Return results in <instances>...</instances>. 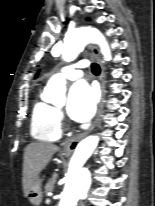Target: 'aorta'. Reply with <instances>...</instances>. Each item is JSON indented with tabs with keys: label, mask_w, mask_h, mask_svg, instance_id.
I'll return each mask as SVG.
<instances>
[{
	"label": "aorta",
	"mask_w": 155,
	"mask_h": 206,
	"mask_svg": "<svg viewBox=\"0 0 155 206\" xmlns=\"http://www.w3.org/2000/svg\"><path fill=\"white\" fill-rule=\"evenodd\" d=\"M88 43H96L104 59L111 60V52L105 37L95 28L80 27L69 32L62 48V58L73 61ZM65 77L56 74L48 81L45 95L48 101L59 104L65 99ZM99 142V137L91 135L83 139L75 149L70 160L67 181L61 193L58 206H77L80 199L86 197L90 188V173L84 168Z\"/></svg>",
	"instance_id": "obj_1"
}]
</instances>
